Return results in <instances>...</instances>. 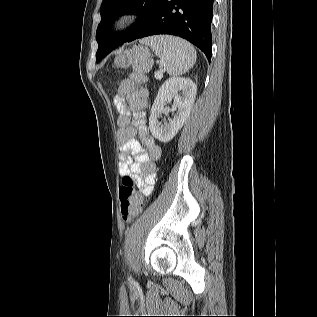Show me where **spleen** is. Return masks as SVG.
I'll use <instances>...</instances> for the list:
<instances>
[{"label": "spleen", "instance_id": "obj_1", "mask_svg": "<svg viewBox=\"0 0 317 317\" xmlns=\"http://www.w3.org/2000/svg\"><path fill=\"white\" fill-rule=\"evenodd\" d=\"M161 59V64L172 76L186 73L196 62V51L187 41L173 36H154L141 41Z\"/></svg>", "mask_w": 317, "mask_h": 317}]
</instances>
